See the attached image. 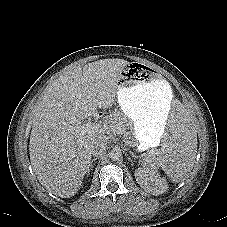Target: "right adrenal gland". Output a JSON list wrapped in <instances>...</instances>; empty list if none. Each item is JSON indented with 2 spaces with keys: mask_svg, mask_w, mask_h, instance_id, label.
I'll list each match as a JSON object with an SVG mask.
<instances>
[{
  "mask_svg": "<svg viewBox=\"0 0 227 227\" xmlns=\"http://www.w3.org/2000/svg\"><path fill=\"white\" fill-rule=\"evenodd\" d=\"M97 159H98V158L96 157V158H93V159L91 160V163H90V167H91V168L93 167V162H95Z\"/></svg>",
  "mask_w": 227,
  "mask_h": 227,
  "instance_id": "right-adrenal-gland-1",
  "label": "right adrenal gland"
}]
</instances>
